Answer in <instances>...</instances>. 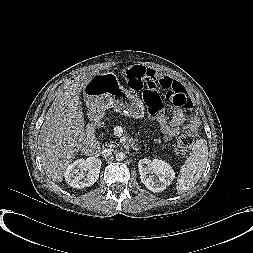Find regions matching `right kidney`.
Here are the masks:
<instances>
[{"label":"right kidney","mask_w":253,"mask_h":253,"mask_svg":"<svg viewBox=\"0 0 253 253\" xmlns=\"http://www.w3.org/2000/svg\"><path fill=\"white\" fill-rule=\"evenodd\" d=\"M101 163V160L95 157L75 160L65 170L66 182L78 189L93 185L99 177Z\"/></svg>","instance_id":"ca27d5eb"}]
</instances>
